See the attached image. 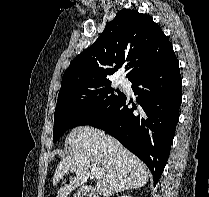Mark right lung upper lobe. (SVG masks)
Here are the masks:
<instances>
[{"mask_svg": "<svg viewBox=\"0 0 209 197\" xmlns=\"http://www.w3.org/2000/svg\"><path fill=\"white\" fill-rule=\"evenodd\" d=\"M173 52L172 44L152 17L137 10H121L103 33L79 54L63 74L61 88L73 84L109 81L123 64L132 81Z\"/></svg>", "mask_w": 209, "mask_h": 197, "instance_id": "obj_1", "label": "right lung upper lobe"}]
</instances>
